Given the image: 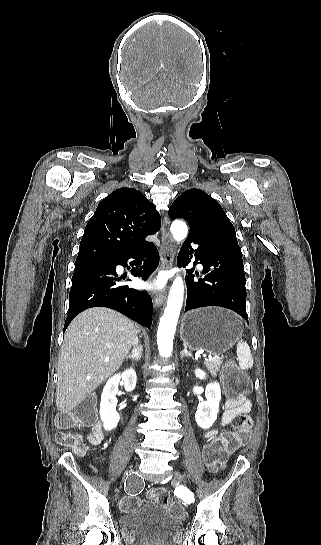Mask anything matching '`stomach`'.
<instances>
[{
  "label": "stomach",
  "mask_w": 321,
  "mask_h": 545,
  "mask_svg": "<svg viewBox=\"0 0 321 545\" xmlns=\"http://www.w3.org/2000/svg\"><path fill=\"white\" fill-rule=\"evenodd\" d=\"M243 333V323L233 311L204 307L185 313L180 337L189 349L222 355L231 349Z\"/></svg>",
  "instance_id": "0dacf381"
}]
</instances>
